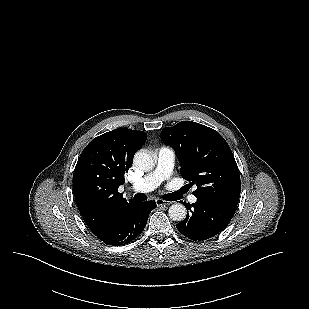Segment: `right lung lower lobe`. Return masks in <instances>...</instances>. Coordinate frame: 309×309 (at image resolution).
Masks as SVG:
<instances>
[{"instance_id":"98d812e1","label":"right lung lower lobe","mask_w":309,"mask_h":309,"mask_svg":"<svg viewBox=\"0 0 309 309\" xmlns=\"http://www.w3.org/2000/svg\"><path fill=\"white\" fill-rule=\"evenodd\" d=\"M156 208L155 201L129 203L115 212L107 222L93 233L112 246L132 242L145 228L149 213Z\"/></svg>"}]
</instances>
